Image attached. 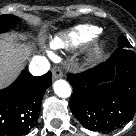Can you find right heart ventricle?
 I'll use <instances>...</instances> for the list:
<instances>
[{
  "instance_id": "obj_1",
  "label": "right heart ventricle",
  "mask_w": 136,
  "mask_h": 136,
  "mask_svg": "<svg viewBox=\"0 0 136 136\" xmlns=\"http://www.w3.org/2000/svg\"><path fill=\"white\" fill-rule=\"evenodd\" d=\"M99 33L100 30L94 26H76L55 37L51 45L58 49H75L92 41Z\"/></svg>"
}]
</instances>
